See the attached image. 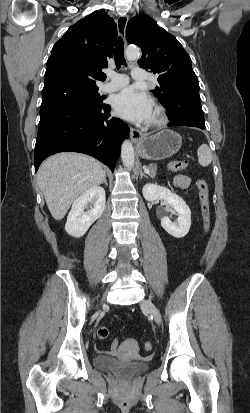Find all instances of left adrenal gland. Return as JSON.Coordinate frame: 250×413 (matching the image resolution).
Instances as JSON below:
<instances>
[{
	"instance_id": "obj_1",
	"label": "left adrenal gland",
	"mask_w": 250,
	"mask_h": 413,
	"mask_svg": "<svg viewBox=\"0 0 250 413\" xmlns=\"http://www.w3.org/2000/svg\"><path fill=\"white\" fill-rule=\"evenodd\" d=\"M145 168H146V167L143 166V169H145ZM142 177L148 178V176L141 170V171H140V178H142Z\"/></svg>"
}]
</instances>
